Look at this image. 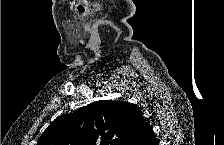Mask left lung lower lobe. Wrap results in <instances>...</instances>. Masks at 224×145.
Segmentation results:
<instances>
[{
	"instance_id": "1",
	"label": "left lung lower lobe",
	"mask_w": 224,
	"mask_h": 145,
	"mask_svg": "<svg viewBox=\"0 0 224 145\" xmlns=\"http://www.w3.org/2000/svg\"><path fill=\"white\" fill-rule=\"evenodd\" d=\"M138 122L136 133L129 145H158V141L154 136L151 127L144 118L141 117Z\"/></svg>"
}]
</instances>
